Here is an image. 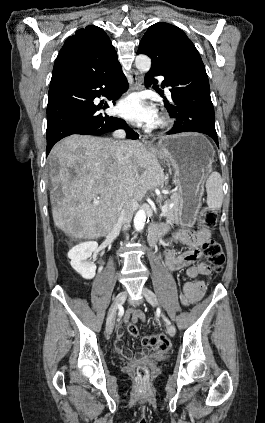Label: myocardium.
I'll list each match as a JSON object with an SVG mask.
<instances>
[{
    "mask_svg": "<svg viewBox=\"0 0 265 423\" xmlns=\"http://www.w3.org/2000/svg\"><path fill=\"white\" fill-rule=\"evenodd\" d=\"M170 126H171V121L164 114L159 115L155 123L153 124V128L159 131L167 130Z\"/></svg>",
    "mask_w": 265,
    "mask_h": 423,
    "instance_id": "1",
    "label": "myocardium"
}]
</instances>
